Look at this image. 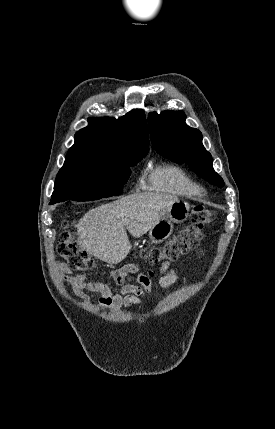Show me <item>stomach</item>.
Masks as SVG:
<instances>
[{
  "instance_id": "obj_1",
  "label": "stomach",
  "mask_w": 275,
  "mask_h": 429,
  "mask_svg": "<svg viewBox=\"0 0 275 429\" xmlns=\"http://www.w3.org/2000/svg\"><path fill=\"white\" fill-rule=\"evenodd\" d=\"M189 209L190 206L187 202L175 201L149 230V237L152 242L157 244L169 238L173 232V224L184 222L189 215Z\"/></svg>"
}]
</instances>
